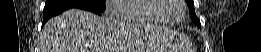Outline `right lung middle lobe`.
I'll return each mask as SVG.
<instances>
[{"label":"right lung middle lobe","mask_w":261,"mask_h":52,"mask_svg":"<svg viewBox=\"0 0 261 52\" xmlns=\"http://www.w3.org/2000/svg\"><path fill=\"white\" fill-rule=\"evenodd\" d=\"M54 0H46V2H51ZM68 4L81 5L98 11L105 10V0H63Z\"/></svg>","instance_id":"right-lung-middle-lobe-1"}]
</instances>
